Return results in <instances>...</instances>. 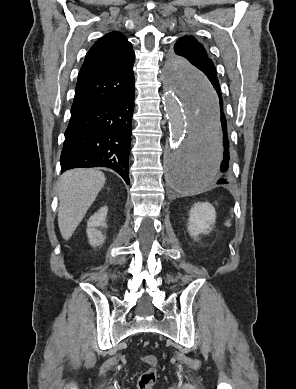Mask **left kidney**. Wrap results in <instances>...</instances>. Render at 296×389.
Returning a JSON list of instances; mask_svg holds the SVG:
<instances>
[{"instance_id":"1","label":"left kidney","mask_w":296,"mask_h":389,"mask_svg":"<svg viewBox=\"0 0 296 389\" xmlns=\"http://www.w3.org/2000/svg\"><path fill=\"white\" fill-rule=\"evenodd\" d=\"M216 212L208 202H198L190 209L188 232L194 240L199 234H208L215 223Z\"/></svg>"}]
</instances>
